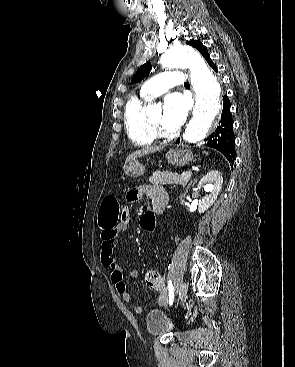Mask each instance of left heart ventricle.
Listing matches in <instances>:
<instances>
[{
  "instance_id": "1",
  "label": "left heart ventricle",
  "mask_w": 295,
  "mask_h": 367,
  "mask_svg": "<svg viewBox=\"0 0 295 367\" xmlns=\"http://www.w3.org/2000/svg\"><path fill=\"white\" fill-rule=\"evenodd\" d=\"M150 120L157 125H161L162 122V113L161 112H157L154 115H152L150 117Z\"/></svg>"
}]
</instances>
